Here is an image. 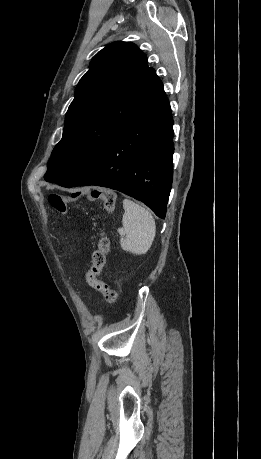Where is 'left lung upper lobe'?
<instances>
[{
  "mask_svg": "<svg viewBox=\"0 0 261 459\" xmlns=\"http://www.w3.org/2000/svg\"><path fill=\"white\" fill-rule=\"evenodd\" d=\"M161 83L135 44L99 51L76 87L44 179L60 184L91 161Z\"/></svg>",
  "mask_w": 261,
  "mask_h": 459,
  "instance_id": "1",
  "label": "left lung upper lobe"
}]
</instances>
